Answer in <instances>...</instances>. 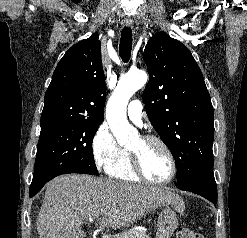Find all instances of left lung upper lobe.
<instances>
[{
    "label": "left lung upper lobe",
    "instance_id": "left-lung-upper-lobe-1",
    "mask_svg": "<svg viewBox=\"0 0 247 238\" xmlns=\"http://www.w3.org/2000/svg\"><path fill=\"white\" fill-rule=\"evenodd\" d=\"M144 61L150 76L143 93L146 112L175 159L180 188L213 172L211 98L191 52L168 34L153 35Z\"/></svg>",
    "mask_w": 247,
    "mask_h": 238
}]
</instances>
